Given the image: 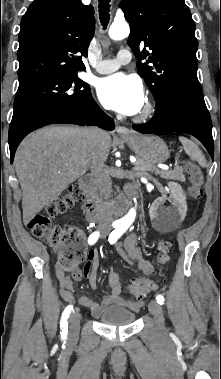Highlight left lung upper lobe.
I'll use <instances>...</instances> for the list:
<instances>
[{"instance_id":"left-lung-upper-lobe-1","label":"left lung upper lobe","mask_w":221,"mask_h":379,"mask_svg":"<svg viewBox=\"0 0 221 379\" xmlns=\"http://www.w3.org/2000/svg\"><path fill=\"white\" fill-rule=\"evenodd\" d=\"M120 7L131 27L128 45L139 61L147 59L137 68L155 101L176 96L204 102L197 78L195 23L184 0H122Z\"/></svg>"}]
</instances>
